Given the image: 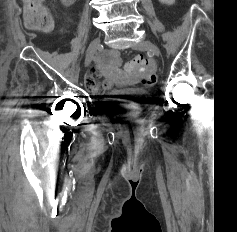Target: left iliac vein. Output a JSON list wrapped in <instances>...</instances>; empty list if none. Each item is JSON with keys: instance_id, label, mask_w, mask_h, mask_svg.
<instances>
[{"instance_id": "left-iliac-vein-1", "label": "left iliac vein", "mask_w": 237, "mask_h": 232, "mask_svg": "<svg viewBox=\"0 0 237 232\" xmlns=\"http://www.w3.org/2000/svg\"><path fill=\"white\" fill-rule=\"evenodd\" d=\"M133 48L140 51L149 50L153 55L157 57H159L160 55L158 47L150 41H141L138 44H135Z\"/></svg>"}]
</instances>
